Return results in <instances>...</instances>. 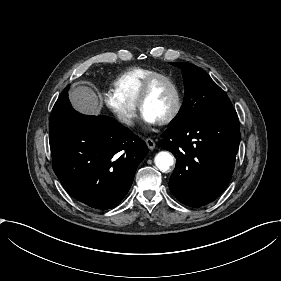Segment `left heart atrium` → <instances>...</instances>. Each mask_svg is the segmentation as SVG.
<instances>
[{
	"label": "left heart atrium",
	"instance_id": "1",
	"mask_svg": "<svg viewBox=\"0 0 281 281\" xmlns=\"http://www.w3.org/2000/svg\"><path fill=\"white\" fill-rule=\"evenodd\" d=\"M142 117L145 120V122H147L150 125H154L157 123L154 119H152L148 114L144 112H142Z\"/></svg>",
	"mask_w": 281,
	"mask_h": 281
}]
</instances>
